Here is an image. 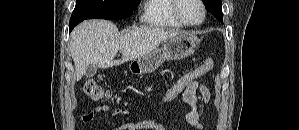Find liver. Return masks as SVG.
Wrapping results in <instances>:
<instances>
[{"label":"liver","instance_id":"6515ba94","mask_svg":"<svg viewBox=\"0 0 299 130\" xmlns=\"http://www.w3.org/2000/svg\"><path fill=\"white\" fill-rule=\"evenodd\" d=\"M178 30L142 26L118 34L111 21L86 20L72 31L69 49L75 66L77 81L88 65L105 69L137 60L155 49L160 43L178 36ZM117 52L121 60H114Z\"/></svg>","mask_w":299,"mask_h":130}]
</instances>
